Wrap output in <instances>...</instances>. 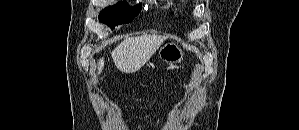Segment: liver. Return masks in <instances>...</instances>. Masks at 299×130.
<instances>
[{
  "label": "liver",
  "mask_w": 299,
  "mask_h": 130,
  "mask_svg": "<svg viewBox=\"0 0 299 130\" xmlns=\"http://www.w3.org/2000/svg\"><path fill=\"white\" fill-rule=\"evenodd\" d=\"M167 37L143 35L123 40L111 53L115 66L122 72L132 73L144 66ZM104 67V58L98 61V73Z\"/></svg>",
  "instance_id": "6515ba94"
}]
</instances>
